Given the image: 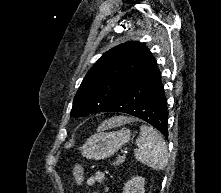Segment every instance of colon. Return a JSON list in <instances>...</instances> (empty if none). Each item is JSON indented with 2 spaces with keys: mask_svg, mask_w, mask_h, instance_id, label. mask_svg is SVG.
I'll use <instances>...</instances> for the list:
<instances>
[{
  "mask_svg": "<svg viewBox=\"0 0 221 193\" xmlns=\"http://www.w3.org/2000/svg\"><path fill=\"white\" fill-rule=\"evenodd\" d=\"M74 181L76 185H80L83 177V166L81 163H77L73 170Z\"/></svg>",
  "mask_w": 221,
  "mask_h": 193,
  "instance_id": "5ec220e1",
  "label": "colon"
}]
</instances>
